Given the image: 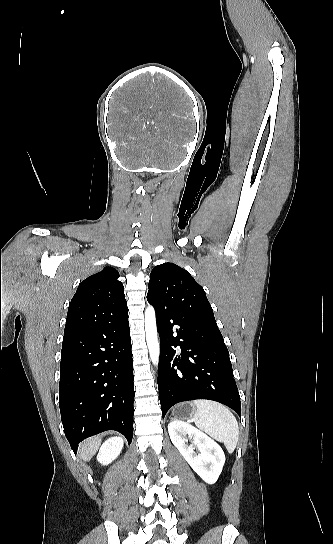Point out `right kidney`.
<instances>
[{"label":"right kidney","mask_w":333,"mask_h":544,"mask_svg":"<svg viewBox=\"0 0 333 544\" xmlns=\"http://www.w3.org/2000/svg\"><path fill=\"white\" fill-rule=\"evenodd\" d=\"M123 448V440L120 437H112L106 440L99 449L97 461L102 465H108L115 460Z\"/></svg>","instance_id":"1"}]
</instances>
